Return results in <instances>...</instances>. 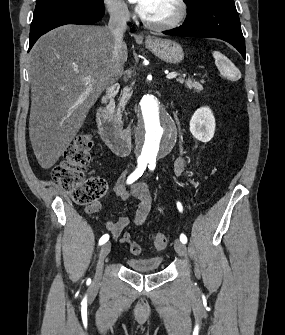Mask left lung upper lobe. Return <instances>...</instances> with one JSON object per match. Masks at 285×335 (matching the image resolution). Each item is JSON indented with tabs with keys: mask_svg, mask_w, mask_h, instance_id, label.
Here are the masks:
<instances>
[{
	"mask_svg": "<svg viewBox=\"0 0 285 335\" xmlns=\"http://www.w3.org/2000/svg\"><path fill=\"white\" fill-rule=\"evenodd\" d=\"M187 3L188 11L194 10L207 0H184Z\"/></svg>",
	"mask_w": 285,
	"mask_h": 335,
	"instance_id": "5c2ea615",
	"label": "left lung upper lobe"
}]
</instances>
